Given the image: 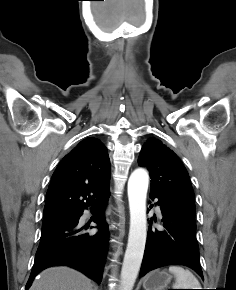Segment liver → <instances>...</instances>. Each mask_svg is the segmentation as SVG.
Listing matches in <instances>:
<instances>
[{
    "label": "liver",
    "mask_w": 236,
    "mask_h": 290,
    "mask_svg": "<svg viewBox=\"0 0 236 290\" xmlns=\"http://www.w3.org/2000/svg\"><path fill=\"white\" fill-rule=\"evenodd\" d=\"M30 290H95L91 280L69 267H51L42 271Z\"/></svg>",
    "instance_id": "6515ba94"
}]
</instances>
